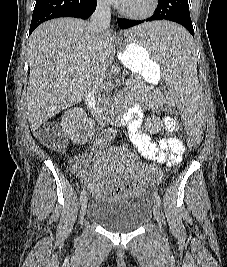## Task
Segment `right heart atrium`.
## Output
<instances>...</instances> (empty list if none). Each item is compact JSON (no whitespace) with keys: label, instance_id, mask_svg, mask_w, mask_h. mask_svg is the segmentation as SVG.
Returning <instances> with one entry per match:
<instances>
[{"label":"right heart atrium","instance_id":"obj_1","mask_svg":"<svg viewBox=\"0 0 227 267\" xmlns=\"http://www.w3.org/2000/svg\"><path fill=\"white\" fill-rule=\"evenodd\" d=\"M97 5L102 9L108 8L109 0H97Z\"/></svg>","mask_w":227,"mask_h":267}]
</instances>
